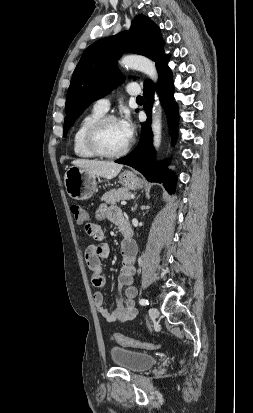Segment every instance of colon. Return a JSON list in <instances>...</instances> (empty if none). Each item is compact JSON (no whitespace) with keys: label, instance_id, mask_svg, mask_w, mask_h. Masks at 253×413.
<instances>
[{"label":"colon","instance_id":"obj_1","mask_svg":"<svg viewBox=\"0 0 253 413\" xmlns=\"http://www.w3.org/2000/svg\"><path fill=\"white\" fill-rule=\"evenodd\" d=\"M70 211L71 214L74 218V220L79 223L82 224L86 221L87 219V215L86 212L84 211V209L79 205V204H72L70 206ZM113 339L126 347H133V348H139V349H146V350H158L160 349V345L157 344H153V343H148V342H143L134 338H130V337H126L122 334L119 333H114L113 334Z\"/></svg>","mask_w":253,"mask_h":413}]
</instances>
